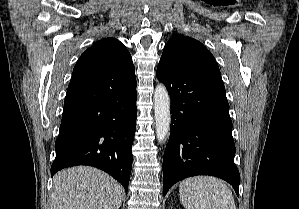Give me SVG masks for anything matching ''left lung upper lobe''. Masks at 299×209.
<instances>
[{"instance_id":"left-lung-upper-lobe-1","label":"left lung upper lobe","mask_w":299,"mask_h":209,"mask_svg":"<svg viewBox=\"0 0 299 209\" xmlns=\"http://www.w3.org/2000/svg\"><path fill=\"white\" fill-rule=\"evenodd\" d=\"M159 66L179 72L220 75L213 55L199 41L183 35L173 36L165 45Z\"/></svg>"}]
</instances>
